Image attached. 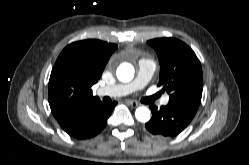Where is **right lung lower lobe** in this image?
Segmentation results:
<instances>
[{"label":"right lung lower lobe","mask_w":249,"mask_h":165,"mask_svg":"<svg viewBox=\"0 0 249 165\" xmlns=\"http://www.w3.org/2000/svg\"><path fill=\"white\" fill-rule=\"evenodd\" d=\"M106 104L100 100L78 107L67 114L57 117L62 129L70 136L82 140L96 136L106 126V120L115 105Z\"/></svg>","instance_id":"98d812e1"}]
</instances>
